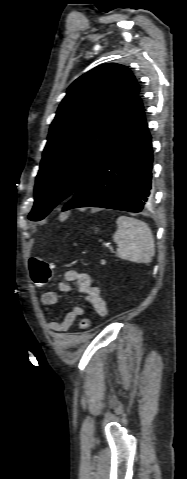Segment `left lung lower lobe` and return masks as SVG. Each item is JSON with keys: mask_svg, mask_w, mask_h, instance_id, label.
<instances>
[{"mask_svg": "<svg viewBox=\"0 0 187 479\" xmlns=\"http://www.w3.org/2000/svg\"><path fill=\"white\" fill-rule=\"evenodd\" d=\"M152 143L139 94L111 148L91 169L63 211L101 207L141 212L150 199Z\"/></svg>", "mask_w": 187, "mask_h": 479, "instance_id": "left-lung-lower-lobe-1", "label": "left lung lower lobe"}]
</instances>
